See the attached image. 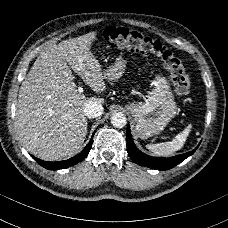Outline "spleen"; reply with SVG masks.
Listing matches in <instances>:
<instances>
[{"label": "spleen", "instance_id": "obj_1", "mask_svg": "<svg viewBox=\"0 0 228 228\" xmlns=\"http://www.w3.org/2000/svg\"><path fill=\"white\" fill-rule=\"evenodd\" d=\"M190 129H185L184 132L178 134L171 142L148 144L147 148L158 155H173V153L183 146V143L189 134Z\"/></svg>", "mask_w": 228, "mask_h": 228}]
</instances>
